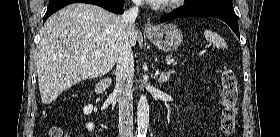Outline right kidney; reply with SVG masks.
Masks as SVG:
<instances>
[{"label":"right kidney","instance_id":"ca27d5eb","mask_svg":"<svg viewBox=\"0 0 280 137\" xmlns=\"http://www.w3.org/2000/svg\"><path fill=\"white\" fill-rule=\"evenodd\" d=\"M92 110H93V106L90 105V104H89L88 106H85V107L83 108V112H84L85 115L90 114V113L92 112ZM86 128H87L89 131H92V130L94 129V124H93V123H87V124H86Z\"/></svg>","mask_w":280,"mask_h":137}]
</instances>
